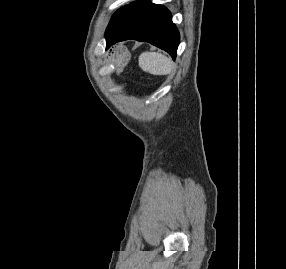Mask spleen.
<instances>
[{
  "label": "spleen",
  "instance_id": "1",
  "mask_svg": "<svg viewBox=\"0 0 286 269\" xmlns=\"http://www.w3.org/2000/svg\"><path fill=\"white\" fill-rule=\"evenodd\" d=\"M139 66L153 75H166L172 70V61L156 52H144L139 57Z\"/></svg>",
  "mask_w": 286,
  "mask_h": 269
}]
</instances>
